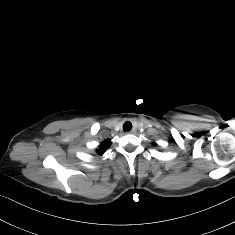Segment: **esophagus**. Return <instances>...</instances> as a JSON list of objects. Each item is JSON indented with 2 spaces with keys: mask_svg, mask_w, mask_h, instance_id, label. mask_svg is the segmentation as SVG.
I'll return each mask as SVG.
<instances>
[{
  "mask_svg": "<svg viewBox=\"0 0 235 235\" xmlns=\"http://www.w3.org/2000/svg\"><path fill=\"white\" fill-rule=\"evenodd\" d=\"M129 133H131V134H135V133H136V129H135V128H133Z\"/></svg>",
  "mask_w": 235,
  "mask_h": 235,
  "instance_id": "1",
  "label": "esophagus"
}]
</instances>
